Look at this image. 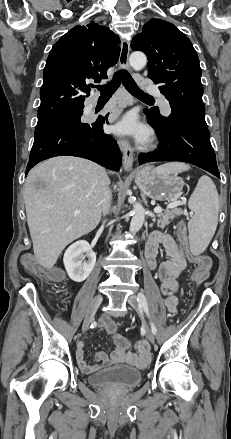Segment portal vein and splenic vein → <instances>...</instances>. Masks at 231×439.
<instances>
[{
    "instance_id": "portal-vein-and-splenic-vein-1",
    "label": "portal vein and splenic vein",
    "mask_w": 231,
    "mask_h": 439,
    "mask_svg": "<svg viewBox=\"0 0 231 439\" xmlns=\"http://www.w3.org/2000/svg\"><path fill=\"white\" fill-rule=\"evenodd\" d=\"M180 204H181V203H179V202H174V203H171L170 205H168V208H175V207L179 206ZM154 212H155L156 214H159V213L162 212V208L159 207V206H157V207L154 208ZM79 213H80L79 210H76V211H75V214H79Z\"/></svg>"
}]
</instances>
